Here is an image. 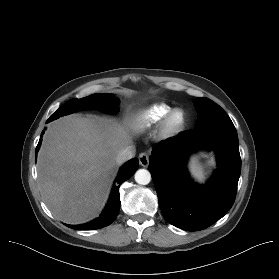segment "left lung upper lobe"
Masks as SVG:
<instances>
[{
  "label": "left lung upper lobe",
  "instance_id": "1",
  "mask_svg": "<svg viewBox=\"0 0 279 279\" xmlns=\"http://www.w3.org/2000/svg\"><path fill=\"white\" fill-rule=\"evenodd\" d=\"M194 104L198 112L195 128L213 124H233L227 113L212 100L197 97Z\"/></svg>",
  "mask_w": 279,
  "mask_h": 279
}]
</instances>
